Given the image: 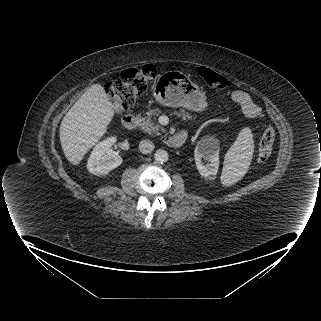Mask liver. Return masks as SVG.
<instances>
[{
  "label": "liver",
  "mask_w": 321,
  "mask_h": 321,
  "mask_svg": "<svg viewBox=\"0 0 321 321\" xmlns=\"http://www.w3.org/2000/svg\"><path fill=\"white\" fill-rule=\"evenodd\" d=\"M115 106L100 84L92 85L65 114L60 142L67 160L78 165L84 155L106 133Z\"/></svg>",
  "instance_id": "obj_1"
}]
</instances>
